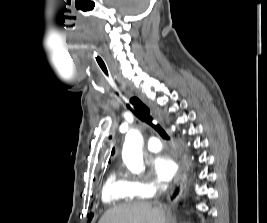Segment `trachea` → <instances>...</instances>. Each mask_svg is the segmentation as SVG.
I'll return each instance as SVG.
<instances>
[{
  "mask_svg": "<svg viewBox=\"0 0 267 223\" xmlns=\"http://www.w3.org/2000/svg\"><path fill=\"white\" fill-rule=\"evenodd\" d=\"M102 70L105 74V76L108 79V82L110 86L114 88L115 94L117 96H120V92L118 89V86L114 79L110 77L109 72L106 68V65L102 67ZM127 107L133 111L135 116L141 120L142 122L147 123L149 126H151L156 132L159 133V135L166 140H169L170 137L166 133V131L161 127V125L156 121V119L150 114V109L137 97L130 98L129 102L127 103Z\"/></svg>",
  "mask_w": 267,
  "mask_h": 223,
  "instance_id": "3493384b",
  "label": "trachea"
}]
</instances>
